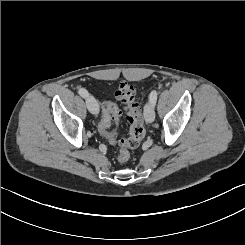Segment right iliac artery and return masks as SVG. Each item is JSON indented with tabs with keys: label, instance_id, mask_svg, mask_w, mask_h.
<instances>
[{
	"label": "right iliac artery",
	"instance_id": "right-iliac-artery-1",
	"mask_svg": "<svg viewBox=\"0 0 245 245\" xmlns=\"http://www.w3.org/2000/svg\"><path fill=\"white\" fill-rule=\"evenodd\" d=\"M78 93L83 98H86L88 96V91L86 89H84V88L79 89Z\"/></svg>",
	"mask_w": 245,
	"mask_h": 245
}]
</instances>
